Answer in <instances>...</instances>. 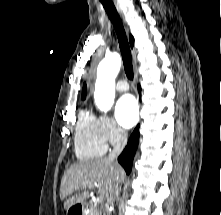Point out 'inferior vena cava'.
<instances>
[{"label":"inferior vena cava","mask_w":221,"mask_h":215,"mask_svg":"<svg viewBox=\"0 0 221 215\" xmlns=\"http://www.w3.org/2000/svg\"><path fill=\"white\" fill-rule=\"evenodd\" d=\"M127 144V134L124 130H120L119 131V135H118V138H117V142L116 144L113 146V150L112 152L109 154V156L107 157V160L110 161V162H113L115 161L118 156L121 154V152L123 151L125 145ZM120 190L121 188L120 187H117L116 190H115V196H118L119 193H120ZM107 203H111V202H108Z\"/></svg>","instance_id":"602c4592"}]
</instances>
